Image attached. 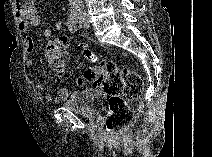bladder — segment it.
Instances as JSON below:
<instances>
[{"mask_svg":"<svg viewBox=\"0 0 212 157\" xmlns=\"http://www.w3.org/2000/svg\"><path fill=\"white\" fill-rule=\"evenodd\" d=\"M105 94L93 88L73 91L62 103L67 109L87 118L95 119L105 100Z\"/></svg>","mask_w":212,"mask_h":157,"instance_id":"obj_1","label":"bladder"}]
</instances>
